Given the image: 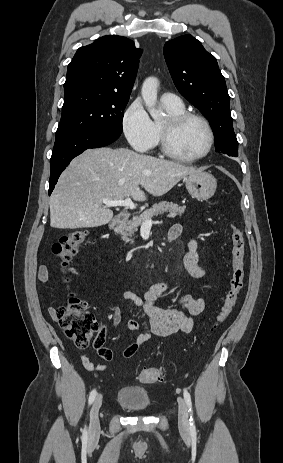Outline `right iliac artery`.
Returning <instances> with one entry per match:
<instances>
[{"label": "right iliac artery", "instance_id": "82829eb1", "mask_svg": "<svg viewBox=\"0 0 283 463\" xmlns=\"http://www.w3.org/2000/svg\"><path fill=\"white\" fill-rule=\"evenodd\" d=\"M96 395H97L96 390H95V389L92 390L91 393H90V395H89V400H88L89 405H91V404L93 403V401L95 400ZM83 437H84V438L87 437V430H86V427H85L84 430H83Z\"/></svg>", "mask_w": 283, "mask_h": 463}]
</instances>
